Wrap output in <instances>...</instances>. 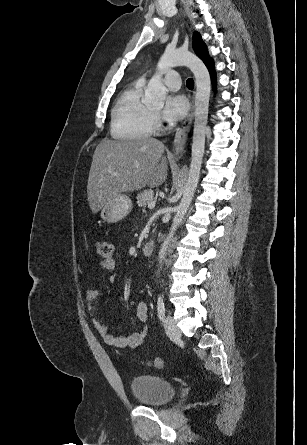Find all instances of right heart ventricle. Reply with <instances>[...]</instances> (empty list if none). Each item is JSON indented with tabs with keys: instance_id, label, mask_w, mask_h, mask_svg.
<instances>
[{
	"instance_id": "right-heart-ventricle-1",
	"label": "right heart ventricle",
	"mask_w": 307,
	"mask_h": 445,
	"mask_svg": "<svg viewBox=\"0 0 307 445\" xmlns=\"http://www.w3.org/2000/svg\"><path fill=\"white\" fill-rule=\"evenodd\" d=\"M143 87L134 83L121 93L111 115V135L115 139L149 140L152 119L143 100ZM139 167V166H136Z\"/></svg>"
}]
</instances>
